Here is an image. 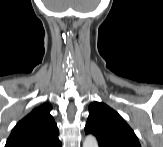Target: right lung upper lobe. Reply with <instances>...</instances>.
<instances>
[{
    "label": "right lung upper lobe",
    "mask_w": 163,
    "mask_h": 147,
    "mask_svg": "<svg viewBox=\"0 0 163 147\" xmlns=\"http://www.w3.org/2000/svg\"><path fill=\"white\" fill-rule=\"evenodd\" d=\"M44 103L32 110L13 128L5 147H46L59 141L58 128Z\"/></svg>",
    "instance_id": "obj_1"
}]
</instances>
